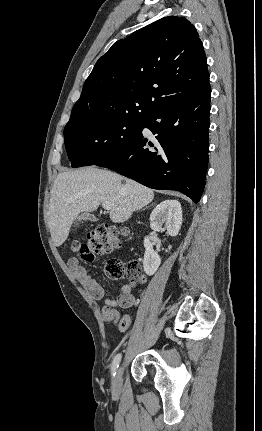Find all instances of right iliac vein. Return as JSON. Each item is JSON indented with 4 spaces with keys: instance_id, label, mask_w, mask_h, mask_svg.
<instances>
[{
    "instance_id": "1",
    "label": "right iliac vein",
    "mask_w": 262,
    "mask_h": 431,
    "mask_svg": "<svg viewBox=\"0 0 262 431\" xmlns=\"http://www.w3.org/2000/svg\"><path fill=\"white\" fill-rule=\"evenodd\" d=\"M121 373H122V367L120 366V367L116 370L115 375H114V378H113V380H112V388H113L114 390H116V389H118V388H119V385H120V378H121Z\"/></svg>"
}]
</instances>
